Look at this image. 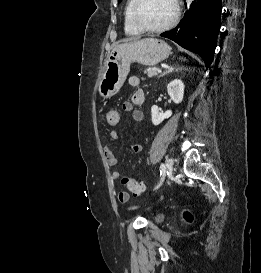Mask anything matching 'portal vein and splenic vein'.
Here are the masks:
<instances>
[{"instance_id":"1","label":"portal vein and splenic vein","mask_w":261,"mask_h":273,"mask_svg":"<svg viewBox=\"0 0 261 273\" xmlns=\"http://www.w3.org/2000/svg\"><path fill=\"white\" fill-rule=\"evenodd\" d=\"M157 72H158V73H161V72H162V70H161V69H158V70H157Z\"/></svg>"}]
</instances>
